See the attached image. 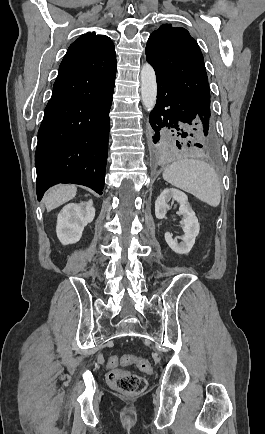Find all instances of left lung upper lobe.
<instances>
[{
    "label": "left lung upper lobe",
    "instance_id": "1",
    "mask_svg": "<svg viewBox=\"0 0 265 434\" xmlns=\"http://www.w3.org/2000/svg\"><path fill=\"white\" fill-rule=\"evenodd\" d=\"M147 61L196 107L210 112V89L203 55L183 27L163 24L151 33ZM212 118V117H211Z\"/></svg>",
    "mask_w": 265,
    "mask_h": 434
}]
</instances>
